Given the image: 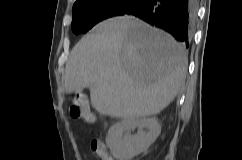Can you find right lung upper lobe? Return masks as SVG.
<instances>
[{
	"mask_svg": "<svg viewBox=\"0 0 242 160\" xmlns=\"http://www.w3.org/2000/svg\"><path fill=\"white\" fill-rule=\"evenodd\" d=\"M80 1H82V0H76L75 4L78 3V2H80Z\"/></svg>",
	"mask_w": 242,
	"mask_h": 160,
	"instance_id": "right-lung-upper-lobe-1",
	"label": "right lung upper lobe"
}]
</instances>
